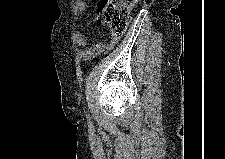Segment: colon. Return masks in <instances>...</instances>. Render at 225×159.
I'll return each mask as SVG.
<instances>
[{
  "label": "colon",
  "mask_w": 225,
  "mask_h": 159,
  "mask_svg": "<svg viewBox=\"0 0 225 159\" xmlns=\"http://www.w3.org/2000/svg\"><path fill=\"white\" fill-rule=\"evenodd\" d=\"M136 2L137 0H101L102 20L111 36L119 37L124 34Z\"/></svg>",
  "instance_id": "5ec220e1"
}]
</instances>
